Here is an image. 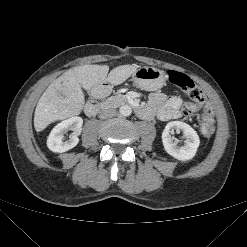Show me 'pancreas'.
I'll return each instance as SVG.
<instances>
[{
	"mask_svg": "<svg viewBox=\"0 0 247 247\" xmlns=\"http://www.w3.org/2000/svg\"><path fill=\"white\" fill-rule=\"evenodd\" d=\"M127 101L126 97L122 94L112 96L101 103L103 107H118Z\"/></svg>",
	"mask_w": 247,
	"mask_h": 247,
	"instance_id": "pancreas-1",
	"label": "pancreas"
}]
</instances>
